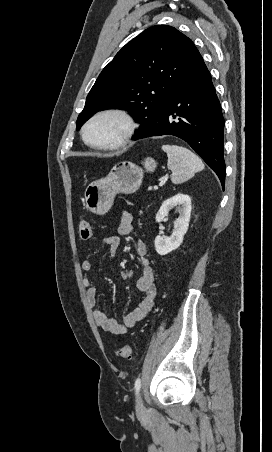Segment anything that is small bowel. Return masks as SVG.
Segmentation results:
<instances>
[{"label":"small bowel","instance_id":"obj_1","mask_svg":"<svg viewBox=\"0 0 272 452\" xmlns=\"http://www.w3.org/2000/svg\"><path fill=\"white\" fill-rule=\"evenodd\" d=\"M134 232L133 215L124 211L120 216L118 234L122 236L131 235ZM104 245L108 248L110 257L117 253L121 240L118 236L109 235L103 238ZM136 251L141 265V275L136 281V287L143 293V298L139 304L123 316L121 321L109 317L105 312L96 308V287L90 278L83 279V285L87 290V301L93 309V317L96 325L107 333L121 335L132 328L138 321L142 320L155 306L157 298V288L154 284V272L147 258V247L142 240L136 241ZM80 267L83 271L92 268V262L85 259Z\"/></svg>","mask_w":272,"mask_h":452}]
</instances>
